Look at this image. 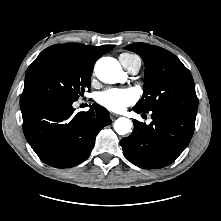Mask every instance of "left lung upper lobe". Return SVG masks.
Segmentation results:
<instances>
[{
  "instance_id": "1",
  "label": "left lung upper lobe",
  "mask_w": 221,
  "mask_h": 221,
  "mask_svg": "<svg viewBox=\"0 0 221 221\" xmlns=\"http://www.w3.org/2000/svg\"><path fill=\"white\" fill-rule=\"evenodd\" d=\"M141 56L145 63L144 98L135 109L149 112L173 108L197 113L198 99L189 70L171 52L147 43L125 47Z\"/></svg>"
}]
</instances>
